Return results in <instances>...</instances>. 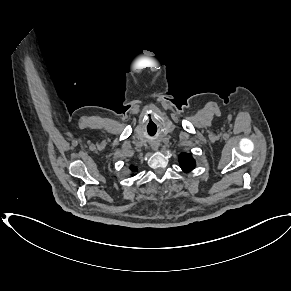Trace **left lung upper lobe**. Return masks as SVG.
Wrapping results in <instances>:
<instances>
[{"instance_id": "1", "label": "left lung upper lobe", "mask_w": 291, "mask_h": 291, "mask_svg": "<svg viewBox=\"0 0 291 291\" xmlns=\"http://www.w3.org/2000/svg\"><path fill=\"white\" fill-rule=\"evenodd\" d=\"M179 163L183 171L189 172L195 167V161L191 154L182 153L179 155Z\"/></svg>"}]
</instances>
